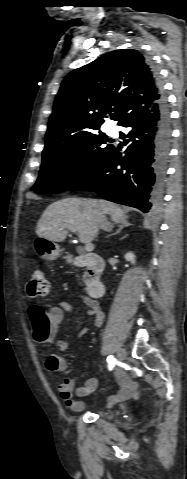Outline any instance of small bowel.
<instances>
[{
    "label": "small bowel",
    "instance_id": "c3829d8e",
    "mask_svg": "<svg viewBox=\"0 0 187 479\" xmlns=\"http://www.w3.org/2000/svg\"><path fill=\"white\" fill-rule=\"evenodd\" d=\"M80 297L87 307L88 315L92 318V324L96 327H100L104 320V313L99 307L98 303L88 296ZM42 312L43 308L38 304L31 305L28 310L29 318L34 326L35 335L43 338L56 333L59 326L63 322L64 313L75 312V308L68 303H60L50 309L47 319L43 317ZM87 328L88 327H84L82 329L80 332L81 336L87 331ZM67 348V341H59L57 346L59 352H64L67 350ZM45 367L48 372L56 374L67 371L68 364L66 360L58 353H47L45 355ZM116 376L120 389L116 394L109 397L107 403L108 407L114 405L119 400L126 399L130 396H138L137 384L131 380L124 371L118 370ZM78 377V374H73L69 377H66L58 384L59 394L66 406L75 411L82 410L86 407L84 402L75 400V395L79 397L86 396L93 392L98 385L97 378L91 377L85 382L83 387L75 390V382Z\"/></svg>",
    "mask_w": 187,
    "mask_h": 479
}]
</instances>
